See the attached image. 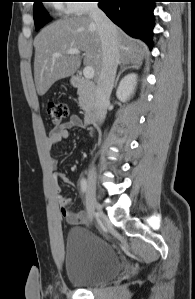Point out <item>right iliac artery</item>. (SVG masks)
Wrapping results in <instances>:
<instances>
[{"label":"right iliac artery","mask_w":195,"mask_h":299,"mask_svg":"<svg viewBox=\"0 0 195 299\" xmlns=\"http://www.w3.org/2000/svg\"><path fill=\"white\" fill-rule=\"evenodd\" d=\"M80 185H81V191L83 193H85L86 190H87V181H86V179L82 178L81 181H80Z\"/></svg>","instance_id":"82829eb1"}]
</instances>
